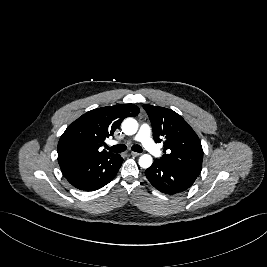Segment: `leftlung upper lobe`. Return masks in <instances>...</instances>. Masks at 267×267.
I'll return each mask as SVG.
<instances>
[{
    "label": "left lung upper lobe",
    "mask_w": 267,
    "mask_h": 267,
    "mask_svg": "<svg viewBox=\"0 0 267 267\" xmlns=\"http://www.w3.org/2000/svg\"><path fill=\"white\" fill-rule=\"evenodd\" d=\"M153 127L156 142H163L165 153L156 159L163 165L198 176L202 170L201 142L188 123L173 110L143 105Z\"/></svg>",
    "instance_id": "5c2ea615"
}]
</instances>
